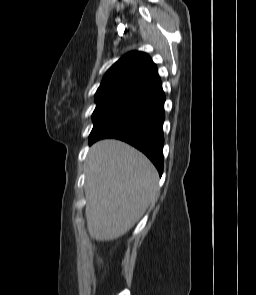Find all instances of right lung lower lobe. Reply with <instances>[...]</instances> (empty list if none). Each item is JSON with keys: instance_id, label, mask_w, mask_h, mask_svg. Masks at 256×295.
Segmentation results:
<instances>
[{"instance_id": "right-lung-lower-lobe-1", "label": "right lung lower lobe", "mask_w": 256, "mask_h": 295, "mask_svg": "<svg viewBox=\"0 0 256 295\" xmlns=\"http://www.w3.org/2000/svg\"><path fill=\"white\" fill-rule=\"evenodd\" d=\"M165 94L159 80L152 87L136 96L95 135L89 144L103 138L123 140L142 151L163 172Z\"/></svg>"}]
</instances>
